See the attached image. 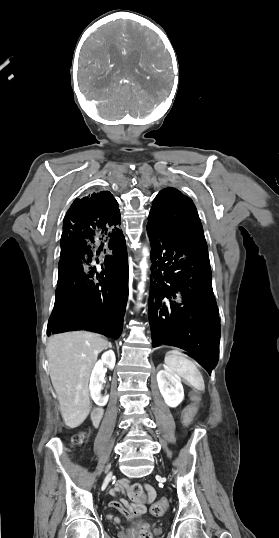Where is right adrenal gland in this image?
Returning <instances> with one entry per match:
<instances>
[{
  "label": "right adrenal gland",
  "instance_id": "2a0ac1e0",
  "mask_svg": "<svg viewBox=\"0 0 279 538\" xmlns=\"http://www.w3.org/2000/svg\"><path fill=\"white\" fill-rule=\"evenodd\" d=\"M108 348H112V346H111V342H109V346H108Z\"/></svg>",
  "mask_w": 279,
  "mask_h": 538
}]
</instances>
